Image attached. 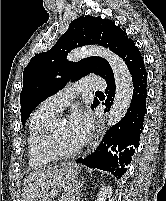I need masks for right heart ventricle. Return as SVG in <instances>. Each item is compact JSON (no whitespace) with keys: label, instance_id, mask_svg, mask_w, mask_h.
Listing matches in <instances>:
<instances>
[{"label":"right heart ventricle","instance_id":"obj_1","mask_svg":"<svg viewBox=\"0 0 166 201\" xmlns=\"http://www.w3.org/2000/svg\"><path fill=\"white\" fill-rule=\"evenodd\" d=\"M57 113L43 106L36 109L29 121V131L27 139V152L29 157V165L32 168H38L54 161V158L45 154L39 146V138L43 127Z\"/></svg>","mask_w":166,"mask_h":201}]
</instances>
